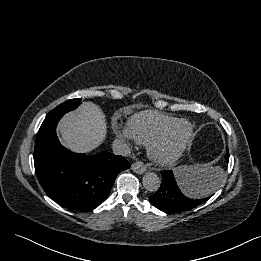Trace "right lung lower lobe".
<instances>
[{
	"label": "right lung lower lobe",
	"mask_w": 261,
	"mask_h": 261,
	"mask_svg": "<svg viewBox=\"0 0 261 261\" xmlns=\"http://www.w3.org/2000/svg\"><path fill=\"white\" fill-rule=\"evenodd\" d=\"M62 116L46 117L37 133L36 175L55 202L73 210L90 211L107 197L117 175L131 165L124 157L106 151L87 156L67 150L56 135Z\"/></svg>",
	"instance_id": "1"
}]
</instances>
